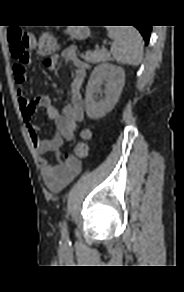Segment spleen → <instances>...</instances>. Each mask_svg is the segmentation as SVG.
I'll use <instances>...</instances> for the list:
<instances>
[{
    "mask_svg": "<svg viewBox=\"0 0 184 292\" xmlns=\"http://www.w3.org/2000/svg\"><path fill=\"white\" fill-rule=\"evenodd\" d=\"M112 39L111 53L120 64L138 66L143 57V41L139 31L131 26L108 27Z\"/></svg>",
    "mask_w": 184,
    "mask_h": 292,
    "instance_id": "3e777b00",
    "label": "spleen"
}]
</instances>
